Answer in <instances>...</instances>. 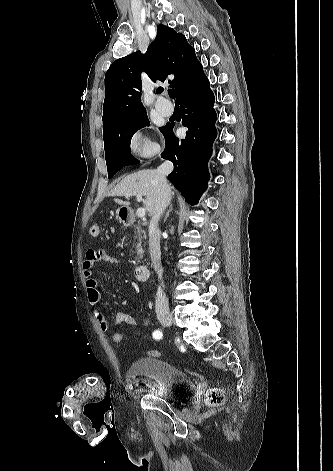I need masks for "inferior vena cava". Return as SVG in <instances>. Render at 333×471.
<instances>
[{
    "label": "inferior vena cava",
    "instance_id": "inferior-vena-cava-1",
    "mask_svg": "<svg viewBox=\"0 0 333 471\" xmlns=\"http://www.w3.org/2000/svg\"><path fill=\"white\" fill-rule=\"evenodd\" d=\"M172 170L173 164L168 161L162 163L157 168L160 194L149 224V251L152 264L156 273L158 274L159 280H162L163 268L161 265L160 230L158 227V222L171 200V189L167 183L166 176L171 173ZM155 311L157 314L169 313L168 299L165 292L161 288H158L156 293Z\"/></svg>",
    "mask_w": 333,
    "mask_h": 471
}]
</instances>
